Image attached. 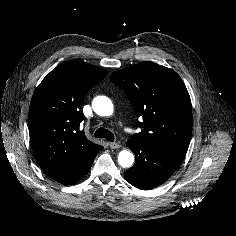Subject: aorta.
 Segmentation results:
<instances>
[{"instance_id":"1","label":"aorta","mask_w":236,"mask_h":236,"mask_svg":"<svg viewBox=\"0 0 236 236\" xmlns=\"http://www.w3.org/2000/svg\"><path fill=\"white\" fill-rule=\"evenodd\" d=\"M93 110L100 116H111L113 114V104L109 98H103L99 102H93ZM134 162V155L128 150H122L118 155V163L123 168L130 167Z\"/></svg>"}]
</instances>
